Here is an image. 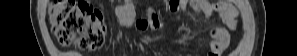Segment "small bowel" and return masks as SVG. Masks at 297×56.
<instances>
[{
  "label": "small bowel",
  "mask_w": 297,
  "mask_h": 56,
  "mask_svg": "<svg viewBox=\"0 0 297 56\" xmlns=\"http://www.w3.org/2000/svg\"><path fill=\"white\" fill-rule=\"evenodd\" d=\"M191 7L196 12H200L204 16V20L210 19L214 12L218 13L221 26L216 27L212 31V39L209 42L210 52L208 56H219L230 43V33L227 28L234 29L236 27V13L234 9L227 4H213L206 0L189 1ZM187 0H170L169 8L172 12L184 10ZM115 15L120 24L124 27H131L135 21V8L130 0H125L115 8ZM139 30L154 29L161 26L158 17L153 11H149L147 16L140 19L137 24Z\"/></svg>",
  "instance_id": "obj_1"
}]
</instances>
